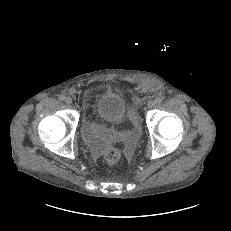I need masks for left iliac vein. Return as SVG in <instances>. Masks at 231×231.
I'll return each instance as SVG.
<instances>
[{
	"label": "left iliac vein",
	"instance_id": "obj_1",
	"mask_svg": "<svg viewBox=\"0 0 231 231\" xmlns=\"http://www.w3.org/2000/svg\"><path fill=\"white\" fill-rule=\"evenodd\" d=\"M155 106V101L154 100H150V101H148V103H147V107L148 108H153Z\"/></svg>",
	"mask_w": 231,
	"mask_h": 231
}]
</instances>
